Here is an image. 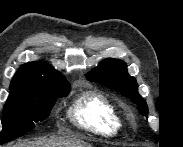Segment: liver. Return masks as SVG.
Returning a JSON list of instances; mask_svg holds the SVG:
<instances>
[{"mask_svg":"<svg viewBox=\"0 0 183 147\" xmlns=\"http://www.w3.org/2000/svg\"><path fill=\"white\" fill-rule=\"evenodd\" d=\"M13 147H92L77 137L38 139L35 141L18 142Z\"/></svg>","mask_w":183,"mask_h":147,"instance_id":"obj_1","label":"liver"}]
</instances>
